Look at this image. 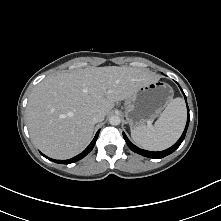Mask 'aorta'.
<instances>
[{
    "label": "aorta",
    "mask_w": 221,
    "mask_h": 221,
    "mask_svg": "<svg viewBox=\"0 0 221 221\" xmlns=\"http://www.w3.org/2000/svg\"><path fill=\"white\" fill-rule=\"evenodd\" d=\"M120 122H121V119H120V117L118 115H112L109 118V123L111 125H115L116 126V125H119Z\"/></svg>",
    "instance_id": "1"
}]
</instances>
